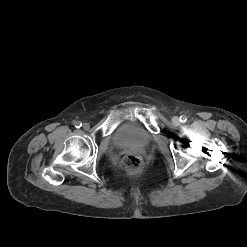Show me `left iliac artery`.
<instances>
[{
  "instance_id": "44dca946",
  "label": "left iliac artery",
  "mask_w": 247,
  "mask_h": 247,
  "mask_svg": "<svg viewBox=\"0 0 247 247\" xmlns=\"http://www.w3.org/2000/svg\"><path fill=\"white\" fill-rule=\"evenodd\" d=\"M180 121L181 122H186L187 121V117L185 115L180 116Z\"/></svg>"
}]
</instances>
